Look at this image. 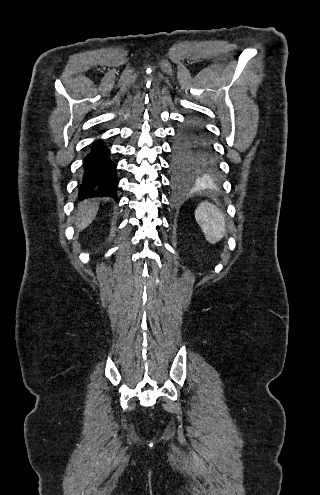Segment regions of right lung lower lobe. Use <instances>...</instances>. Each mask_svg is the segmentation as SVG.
Instances as JSON below:
<instances>
[{
  "instance_id": "obj_1",
  "label": "right lung lower lobe",
  "mask_w": 320,
  "mask_h": 495,
  "mask_svg": "<svg viewBox=\"0 0 320 495\" xmlns=\"http://www.w3.org/2000/svg\"><path fill=\"white\" fill-rule=\"evenodd\" d=\"M117 187L116 164L110 158V150L103 140L91 143L83 164L79 198L108 196L116 199Z\"/></svg>"
}]
</instances>
